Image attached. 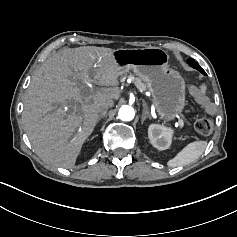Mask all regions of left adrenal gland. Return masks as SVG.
Returning <instances> with one entry per match:
<instances>
[{
    "instance_id": "1",
    "label": "left adrenal gland",
    "mask_w": 237,
    "mask_h": 237,
    "mask_svg": "<svg viewBox=\"0 0 237 237\" xmlns=\"http://www.w3.org/2000/svg\"><path fill=\"white\" fill-rule=\"evenodd\" d=\"M149 118L151 119V116L149 115L148 108L146 106V103L143 102V112H142V117H141V124L144 123V121Z\"/></svg>"
}]
</instances>
